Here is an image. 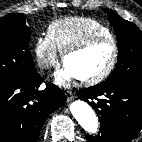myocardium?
I'll use <instances>...</instances> for the list:
<instances>
[{
    "label": "myocardium",
    "mask_w": 142,
    "mask_h": 142,
    "mask_svg": "<svg viewBox=\"0 0 142 142\" xmlns=\"http://www.w3.org/2000/svg\"><path fill=\"white\" fill-rule=\"evenodd\" d=\"M102 40H107L110 41L113 45V55L112 58L109 62V64L107 65V67L101 71L100 73L91 76V77H86V78H78L79 82L83 85H87V86H91V85H96L102 81H104L114 70L117 62H118V58H119V44L116 40V38L113 35H102V34H94V35H90L82 40H80L79 42L69 46L67 49H65L63 51V55H62V61L65 63V60L68 56H70L71 54L80 52L84 49H86L87 47H89L91 44L97 42V41H102Z\"/></svg>",
    "instance_id": "obj_1"
}]
</instances>
